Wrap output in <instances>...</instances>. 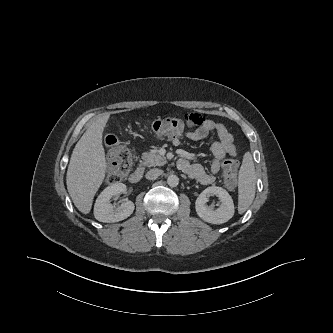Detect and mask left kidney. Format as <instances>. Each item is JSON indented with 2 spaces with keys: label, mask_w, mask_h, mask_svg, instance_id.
Returning <instances> with one entry per match:
<instances>
[{
  "label": "left kidney",
  "mask_w": 333,
  "mask_h": 333,
  "mask_svg": "<svg viewBox=\"0 0 333 333\" xmlns=\"http://www.w3.org/2000/svg\"><path fill=\"white\" fill-rule=\"evenodd\" d=\"M209 195H216L221 201V205L215 210L206 205ZM195 209L202 220L211 224L225 223L234 215V203L231 196L225 189L217 186L208 187L199 195L195 202Z\"/></svg>",
  "instance_id": "obj_1"
}]
</instances>
